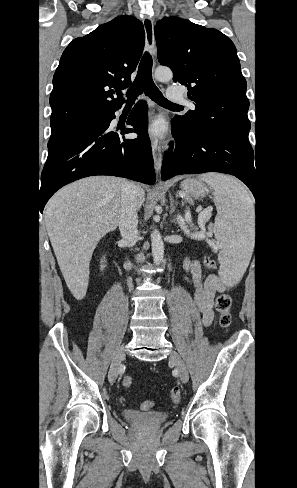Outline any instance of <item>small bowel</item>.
Masks as SVG:
<instances>
[{"label":"small bowel","mask_w":297,"mask_h":488,"mask_svg":"<svg viewBox=\"0 0 297 488\" xmlns=\"http://www.w3.org/2000/svg\"><path fill=\"white\" fill-rule=\"evenodd\" d=\"M183 267L193 286V297L202 323L209 326L214 317V299L217 294L225 293L228 287L218 275L211 274L203 277L200 263L197 260L187 258L184 260Z\"/></svg>","instance_id":"small-bowel-1"}]
</instances>
